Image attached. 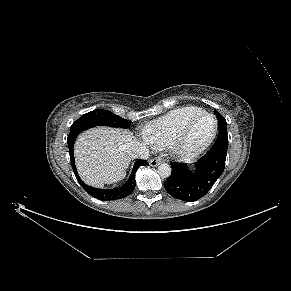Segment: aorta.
I'll return each mask as SVG.
<instances>
[{
    "label": "aorta",
    "mask_w": 291,
    "mask_h": 291,
    "mask_svg": "<svg viewBox=\"0 0 291 291\" xmlns=\"http://www.w3.org/2000/svg\"><path fill=\"white\" fill-rule=\"evenodd\" d=\"M158 173L161 177H169L171 175V167L167 163H162L158 166Z\"/></svg>",
    "instance_id": "1"
}]
</instances>
